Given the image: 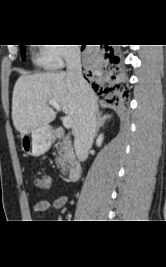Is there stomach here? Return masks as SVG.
<instances>
[{
  "mask_svg": "<svg viewBox=\"0 0 166 267\" xmlns=\"http://www.w3.org/2000/svg\"><path fill=\"white\" fill-rule=\"evenodd\" d=\"M54 140L50 126H40L21 138L22 150L31 156H40L47 152Z\"/></svg>",
  "mask_w": 166,
  "mask_h": 267,
  "instance_id": "0dacf381",
  "label": "stomach"
}]
</instances>
